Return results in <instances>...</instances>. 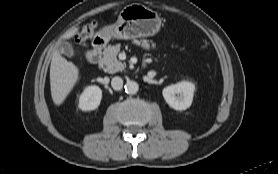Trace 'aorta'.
I'll list each match as a JSON object with an SVG mask.
<instances>
[{
  "label": "aorta",
  "instance_id": "762f6f07",
  "mask_svg": "<svg viewBox=\"0 0 278 174\" xmlns=\"http://www.w3.org/2000/svg\"><path fill=\"white\" fill-rule=\"evenodd\" d=\"M139 90V85L135 81H128L125 85V91L128 94H136Z\"/></svg>",
  "mask_w": 278,
  "mask_h": 174
}]
</instances>
